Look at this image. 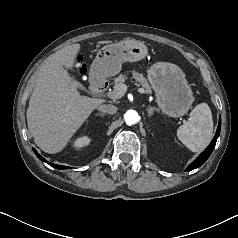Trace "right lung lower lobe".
I'll use <instances>...</instances> for the list:
<instances>
[{"label":"right lung lower lobe","mask_w":238,"mask_h":238,"mask_svg":"<svg viewBox=\"0 0 238 238\" xmlns=\"http://www.w3.org/2000/svg\"><path fill=\"white\" fill-rule=\"evenodd\" d=\"M33 151H34V153L36 154V156H37L40 160H42V161H44V162H47L43 157H41V156L38 154V152H37L35 149H33ZM48 164L51 165V166L54 167V168H57V169H67V168H69V167H67V166H61V165L52 164V163H49V162H48Z\"/></svg>","instance_id":"right-lung-lower-lobe-1"}]
</instances>
